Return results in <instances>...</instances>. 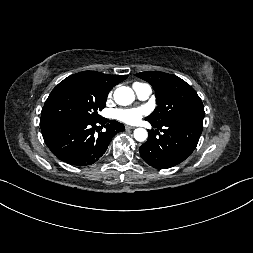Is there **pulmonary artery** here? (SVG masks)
Wrapping results in <instances>:
<instances>
[{"label":"pulmonary artery","instance_id":"obj_1","mask_svg":"<svg viewBox=\"0 0 253 253\" xmlns=\"http://www.w3.org/2000/svg\"><path fill=\"white\" fill-rule=\"evenodd\" d=\"M138 98L141 100H146L151 94V88L147 84H141L133 87Z\"/></svg>","mask_w":253,"mask_h":253}]
</instances>
